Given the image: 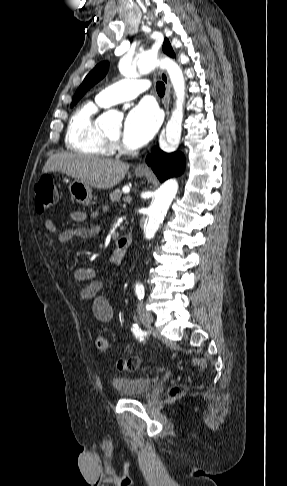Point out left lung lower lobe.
I'll return each mask as SVG.
<instances>
[{"instance_id": "left-lung-lower-lobe-1", "label": "left lung lower lobe", "mask_w": 287, "mask_h": 486, "mask_svg": "<svg viewBox=\"0 0 287 486\" xmlns=\"http://www.w3.org/2000/svg\"><path fill=\"white\" fill-rule=\"evenodd\" d=\"M146 161L161 182L170 177L180 175L185 166V157L181 152L168 154L161 151L158 147L152 149Z\"/></svg>"}]
</instances>
